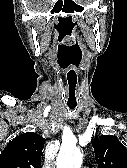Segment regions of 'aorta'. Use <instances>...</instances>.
Instances as JSON below:
<instances>
[{
  "mask_svg": "<svg viewBox=\"0 0 127 168\" xmlns=\"http://www.w3.org/2000/svg\"><path fill=\"white\" fill-rule=\"evenodd\" d=\"M82 160L83 156L77 147H63L58 155L57 168H80Z\"/></svg>",
  "mask_w": 127,
  "mask_h": 168,
  "instance_id": "obj_1",
  "label": "aorta"
}]
</instances>
